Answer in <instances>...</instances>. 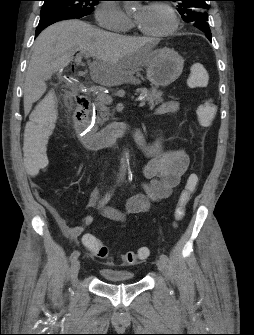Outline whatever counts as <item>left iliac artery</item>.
I'll return each mask as SVG.
<instances>
[{
  "mask_svg": "<svg viewBox=\"0 0 254 335\" xmlns=\"http://www.w3.org/2000/svg\"><path fill=\"white\" fill-rule=\"evenodd\" d=\"M160 259H162V260H164V261H168V257H167V255L166 254H161L160 255Z\"/></svg>",
  "mask_w": 254,
  "mask_h": 335,
  "instance_id": "44dca946",
  "label": "left iliac artery"
}]
</instances>
